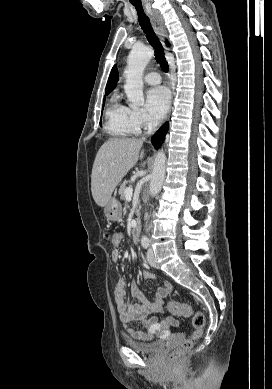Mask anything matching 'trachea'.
Segmentation results:
<instances>
[{"mask_svg":"<svg viewBox=\"0 0 272 389\" xmlns=\"http://www.w3.org/2000/svg\"><path fill=\"white\" fill-rule=\"evenodd\" d=\"M135 7L137 14H138V21L139 24L146 34V37L149 41V43L152 45V47L155 49V59L160 64V67L164 72L169 71V66L166 61V58L164 56V48L162 44L160 43L158 37L156 36L155 32L153 31V28L150 24V20L148 16L145 14L142 4H133Z\"/></svg>","mask_w":272,"mask_h":389,"instance_id":"3493384b","label":"trachea"}]
</instances>
